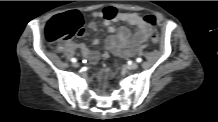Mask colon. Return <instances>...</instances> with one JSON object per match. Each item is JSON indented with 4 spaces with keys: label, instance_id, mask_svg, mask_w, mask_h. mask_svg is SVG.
<instances>
[{
    "label": "colon",
    "instance_id": "5ec220e1",
    "mask_svg": "<svg viewBox=\"0 0 218 122\" xmlns=\"http://www.w3.org/2000/svg\"><path fill=\"white\" fill-rule=\"evenodd\" d=\"M143 18L151 26H153L156 22L155 17L151 14H148ZM83 24V16L78 11H69L57 15L48 22L45 30L46 37L51 43H58L68 40L74 36H79L82 34ZM151 39L154 44L158 43V35L155 31L152 33Z\"/></svg>",
    "mask_w": 218,
    "mask_h": 122
}]
</instances>
